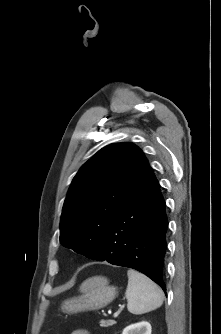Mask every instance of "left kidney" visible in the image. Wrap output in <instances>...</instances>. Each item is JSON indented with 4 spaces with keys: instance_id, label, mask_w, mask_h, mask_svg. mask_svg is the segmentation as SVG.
Masks as SVG:
<instances>
[{
    "instance_id": "obj_1",
    "label": "left kidney",
    "mask_w": 221,
    "mask_h": 334,
    "mask_svg": "<svg viewBox=\"0 0 221 334\" xmlns=\"http://www.w3.org/2000/svg\"><path fill=\"white\" fill-rule=\"evenodd\" d=\"M122 334H151V325L147 321L132 324L126 327Z\"/></svg>"
}]
</instances>
